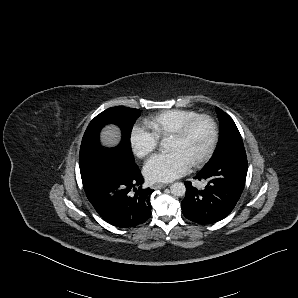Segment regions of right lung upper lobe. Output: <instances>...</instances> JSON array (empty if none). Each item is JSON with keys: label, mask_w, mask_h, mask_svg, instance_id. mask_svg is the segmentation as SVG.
<instances>
[{"label": "right lung upper lobe", "mask_w": 298, "mask_h": 298, "mask_svg": "<svg viewBox=\"0 0 298 298\" xmlns=\"http://www.w3.org/2000/svg\"><path fill=\"white\" fill-rule=\"evenodd\" d=\"M112 159H113V158H111V157L104 158V159H103V162H105V163H109V162L112 161Z\"/></svg>", "instance_id": "1"}]
</instances>
